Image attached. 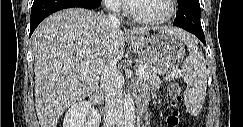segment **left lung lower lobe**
Segmentation results:
<instances>
[{"mask_svg":"<svg viewBox=\"0 0 243 127\" xmlns=\"http://www.w3.org/2000/svg\"><path fill=\"white\" fill-rule=\"evenodd\" d=\"M200 17L199 0H182L179 2V10L177 11L173 25L193 33L206 45Z\"/></svg>","mask_w":243,"mask_h":127,"instance_id":"left-lung-lower-lobe-1","label":"left lung lower lobe"}]
</instances>
